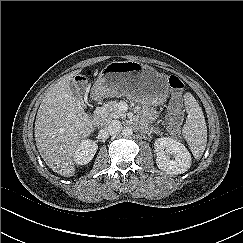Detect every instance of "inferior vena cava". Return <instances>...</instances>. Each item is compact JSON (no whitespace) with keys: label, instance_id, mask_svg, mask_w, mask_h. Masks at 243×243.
<instances>
[{"label":"inferior vena cava","instance_id":"obj_1","mask_svg":"<svg viewBox=\"0 0 243 243\" xmlns=\"http://www.w3.org/2000/svg\"><path fill=\"white\" fill-rule=\"evenodd\" d=\"M122 130V124L119 120H110L106 123L104 131L109 135H117Z\"/></svg>","mask_w":243,"mask_h":243}]
</instances>
